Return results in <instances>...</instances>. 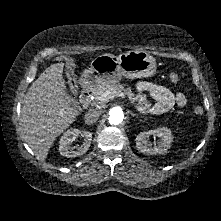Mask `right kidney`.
<instances>
[{"mask_svg": "<svg viewBox=\"0 0 221 221\" xmlns=\"http://www.w3.org/2000/svg\"><path fill=\"white\" fill-rule=\"evenodd\" d=\"M81 136L84 138L83 144L80 147H77L76 150L70 147L71 143L75 139ZM92 140V133L88 131H80L78 129H70L64 133L60 139L59 152L61 155L70 157H77L85 154L90 147Z\"/></svg>", "mask_w": 221, "mask_h": 221, "instance_id": "obj_1", "label": "right kidney"}]
</instances>
